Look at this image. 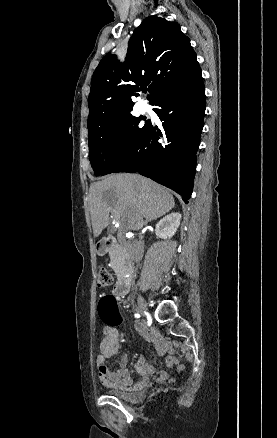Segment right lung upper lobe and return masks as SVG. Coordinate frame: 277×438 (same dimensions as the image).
Instances as JSON below:
<instances>
[{
    "label": "right lung upper lobe",
    "mask_w": 277,
    "mask_h": 438,
    "mask_svg": "<svg viewBox=\"0 0 277 438\" xmlns=\"http://www.w3.org/2000/svg\"><path fill=\"white\" fill-rule=\"evenodd\" d=\"M178 68L169 71L166 64ZM190 39L176 22L145 18L130 39L125 63L108 53L92 76L88 126L131 114L133 98L149 85L150 104L167 87L200 71Z\"/></svg>",
    "instance_id": "1"
}]
</instances>
